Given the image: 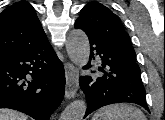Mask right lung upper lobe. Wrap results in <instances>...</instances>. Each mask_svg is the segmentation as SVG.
Wrapping results in <instances>:
<instances>
[{"instance_id": "1", "label": "right lung upper lobe", "mask_w": 165, "mask_h": 120, "mask_svg": "<svg viewBox=\"0 0 165 120\" xmlns=\"http://www.w3.org/2000/svg\"><path fill=\"white\" fill-rule=\"evenodd\" d=\"M46 39L35 9L21 1L0 13V55Z\"/></svg>"}]
</instances>
